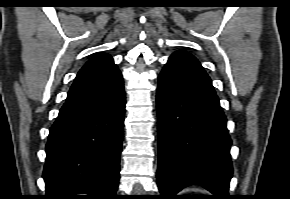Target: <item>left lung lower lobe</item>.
I'll return each instance as SVG.
<instances>
[{
    "mask_svg": "<svg viewBox=\"0 0 290 199\" xmlns=\"http://www.w3.org/2000/svg\"><path fill=\"white\" fill-rule=\"evenodd\" d=\"M158 171L163 199L189 185L228 197L231 139L212 81L198 60L174 52L158 78Z\"/></svg>",
    "mask_w": 290,
    "mask_h": 199,
    "instance_id": "1",
    "label": "left lung lower lobe"
}]
</instances>
